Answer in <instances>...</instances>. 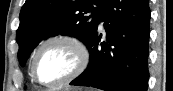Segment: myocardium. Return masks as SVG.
<instances>
[{
  "label": "myocardium",
  "mask_w": 173,
  "mask_h": 91,
  "mask_svg": "<svg viewBox=\"0 0 173 91\" xmlns=\"http://www.w3.org/2000/svg\"><path fill=\"white\" fill-rule=\"evenodd\" d=\"M53 43H64L70 46L76 53L77 63L74 69L66 75L64 78L55 81V82H43L39 79L37 75V61L41 52L48 45ZM90 62V50L87 44L78 36L72 34H59L54 35L47 40H45L35 51L32 63H31V72L33 79L42 86L45 87H59L63 86L70 81L74 80L80 76L88 67Z\"/></svg>",
  "instance_id": "myocardium-1"
}]
</instances>
